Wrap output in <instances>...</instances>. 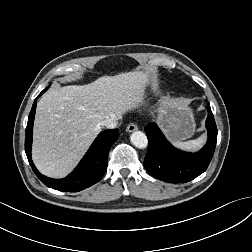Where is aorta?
<instances>
[{
  "label": "aorta",
  "instance_id": "1",
  "mask_svg": "<svg viewBox=\"0 0 252 252\" xmlns=\"http://www.w3.org/2000/svg\"><path fill=\"white\" fill-rule=\"evenodd\" d=\"M130 141L134 146L140 149L146 148L148 145L147 136L141 131H134L130 135Z\"/></svg>",
  "mask_w": 252,
  "mask_h": 252
}]
</instances>
